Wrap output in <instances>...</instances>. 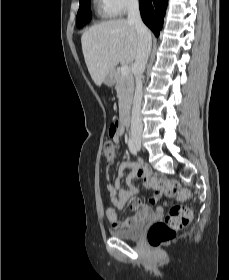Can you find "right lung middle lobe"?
Returning <instances> with one entry per match:
<instances>
[{
	"mask_svg": "<svg viewBox=\"0 0 229 280\" xmlns=\"http://www.w3.org/2000/svg\"><path fill=\"white\" fill-rule=\"evenodd\" d=\"M91 20L90 0H80V7L76 17V26L81 28Z\"/></svg>",
	"mask_w": 229,
	"mask_h": 280,
	"instance_id": "1",
	"label": "right lung middle lobe"
}]
</instances>
